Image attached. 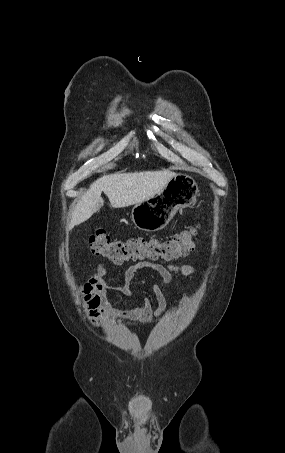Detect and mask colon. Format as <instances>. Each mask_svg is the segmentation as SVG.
<instances>
[{"label": "colon", "instance_id": "1", "mask_svg": "<svg viewBox=\"0 0 285 453\" xmlns=\"http://www.w3.org/2000/svg\"><path fill=\"white\" fill-rule=\"evenodd\" d=\"M199 227L179 232L169 238L137 237L112 240L103 229H97L90 237L93 254L101 255L114 263L130 260L170 261L187 256L196 246Z\"/></svg>", "mask_w": 285, "mask_h": 453}]
</instances>
